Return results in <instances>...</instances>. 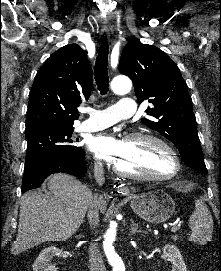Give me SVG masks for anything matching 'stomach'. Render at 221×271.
<instances>
[{
  "label": "stomach",
  "mask_w": 221,
  "mask_h": 271,
  "mask_svg": "<svg viewBox=\"0 0 221 271\" xmlns=\"http://www.w3.org/2000/svg\"><path fill=\"white\" fill-rule=\"evenodd\" d=\"M130 205L137 215L150 223L166 221L175 211L174 199L164 189L157 187H152L143 195H133Z\"/></svg>",
  "instance_id": "0dacf381"
}]
</instances>
